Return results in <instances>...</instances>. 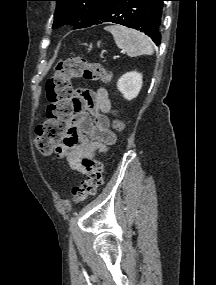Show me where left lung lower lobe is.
<instances>
[{"label": "left lung lower lobe", "mask_w": 216, "mask_h": 285, "mask_svg": "<svg viewBox=\"0 0 216 285\" xmlns=\"http://www.w3.org/2000/svg\"><path fill=\"white\" fill-rule=\"evenodd\" d=\"M163 1L166 0H112L93 25L121 24L146 33L158 46Z\"/></svg>", "instance_id": "left-lung-lower-lobe-1"}]
</instances>
